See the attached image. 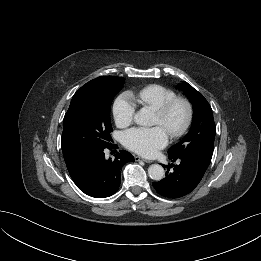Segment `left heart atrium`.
I'll list each match as a JSON object with an SVG mask.
<instances>
[{
  "mask_svg": "<svg viewBox=\"0 0 261 261\" xmlns=\"http://www.w3.org/2000/svg\"><path fill=\"white\" fill-rule=\"evenodd\" d=\"M125 146L143 156H152L168 142V134L161 126L133 128L123 137Z\"/></svg>",
  "mask_w": 261,
  "mask_h": 261,
  "instance_id": "39dd6f15",
  "label": "left heart atrium"
}]
</instances>
